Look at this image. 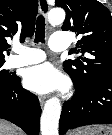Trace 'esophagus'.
I'll list each match as a JSON object with an SVG mask.
<instances>
[{"mask_svg": "<svg viewBox=\"0 0 112 135\" xmlns=\"http://www.w3.org/2000/svg\"><path fill=\"white\" fill-rule=\"evenodd\" d=\"M42 5L44 6V9H43ZM39 6H40L41 13L44 16H47V13L49 11L48 1L47 0H40L39 1ZM39 102H40V105L43 106V104L45 103V97H40Z\"/></svg>", "mask_w": 112, "mask_h": 135, "instance_id": "1", "label": "esophagus"}]
</instances>
